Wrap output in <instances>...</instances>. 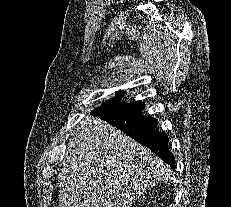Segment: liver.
Wrapping results in <instances>:
<instances>
[{
    "instance_id": "obj_1",
    "label": "liver",
    "mask_w": 231,
    "mask_h": 207,
    "mask_svg": "<svg viewBox=\"0 0 231 207\" xmlns=\"http://www.w3.org/2000/svg\"><path fill=\"white\" fill-rule=\"evenodd\" d=\"M75 129L58 175V207H131L169 178L158 156L107 122L87 116Z\"/></svg>"
}]
</instances>
